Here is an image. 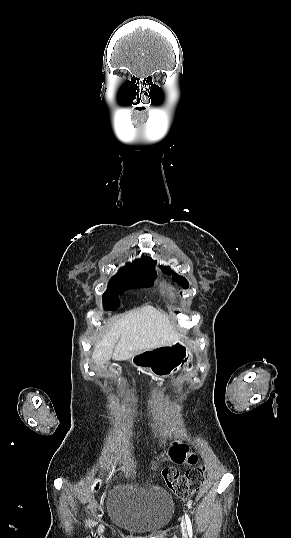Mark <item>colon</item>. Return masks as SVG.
I'll return each mask as SVG.
<instances>
[{"mask_svg":"<svg viewBox=\"0 0 291 538\" xmlns=\"http://www.w3.org/2000/svg\"><path fill=\"white\" fill-rule=\"evenodd\" d=\"M170 456L176 463L187 461L195 463V457L188 453V448L184 444L173 446ZM163 477L167 486L180 498H188L200 489L205 478V468L203 466L193 467L185 474H180L173 468H166ZM96 485V484H95Z\"/></svg>","mask_w":291,"mask_h":538,"instance_id":"5ec220e1","label":"colon"}]
</instances>
